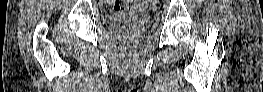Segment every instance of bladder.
I'll use <instances>...</instances> for the list:
<instances>
[{
    "mask_svg": "<svg viewBox=\"0 0 263 92\" xmlns=\"http://www.w3.org/2000/svg\"><path fill=\"white\" fill-rule=\"evenodd\" d=\"M110 19L115 23H120L125 20H137L140 23H146L150 19V13L141 9L114 11L110 15Z\"/></svg>",
    "mask_w": 263,
    "mask_h": 92,
    "instance_id": "obj_1",
    "label": "bladder"
}]
</instances>
